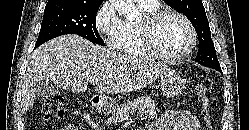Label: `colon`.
Wrapping results in <instances>:
<instances>
[{
    "label": "colon",
    "mask_w": 249,
    "mask_h": 130,
    "mask_svg": "<svg viewBox=\"0 0 249 130\" xmlns=\"http://www.w3.org/2000/svg\"><path fill=\"white\" fill-rule=\"evenodd\" d=\"M195 95L199 101V108L206 130H213V122L210 109V99L207 89L202 84H196L193 88ZM42 109L45 118L48 119H63L65 115L64 97L60 94L45 98L42 102Z\"/></svg>",
    "instance_id": "1"
}]
</instances>
